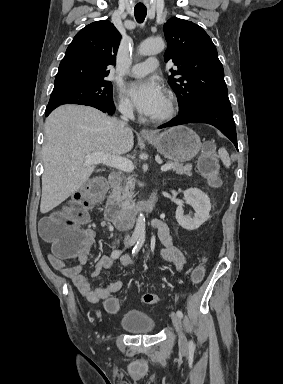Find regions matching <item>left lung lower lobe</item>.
Listing matches in <instances>:
<instances>
[{
	"label": "left lung lower lobe",
	"instance_id": "left-lung-lower-lobe-1",
	"mask_svg": "<svg viewBox=\"0 0 283 384\" xmlns=\"http://www.w3.org/2000/svg\"><path fill=\"white\" fill-rule=\"evenodd\" d=\"M187 123H208L218 128L238 149L235 123L229 102L197 106L178 114L174 119L159 126V129Z\"/></svg>",
	"mask_w": 283,
	"mask_h": 384
}]
</instances>
